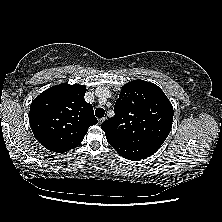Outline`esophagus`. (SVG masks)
Segmentation results:
<instances>
[{
	"mask_svg": "<svg viewBox=\"0 0 222 222\" xmlns=\"http://www.w3.org/2000/svg\"><path fill=\"white\" fill-rule=\"evenodd\" d=\"M104 120H105V117L100 118V119L98 120V121H99V124L103 123V122H104Z\"/></svg>",
	"mask_w": 222,
	"mask_h": 222,
	"instance_id": "esophagus-1",
	"label": "esophagus"
}]
</instances>
